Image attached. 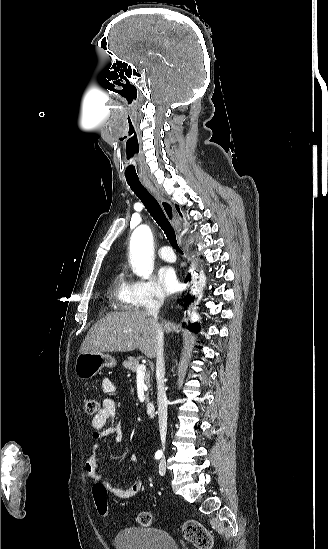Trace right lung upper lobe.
<instances>
[{
	"instance_id": "obj_1",
	"label": "right lung upper lobe",
	"mask_w": 328,
	"mask_h": 549,
	"mask_svg": "<svg viewBox=\"0 0 328 549\" xmlns=\"http://www.w3.org/2000/svg\"><path fill=\"white\" fill-rule=\"evenodd\" d=\"M176 209H177V211L180 213L179 207H178L177 205H176ZM180 214H181V213H180Z\"/></svg>"
}]
</instances>
